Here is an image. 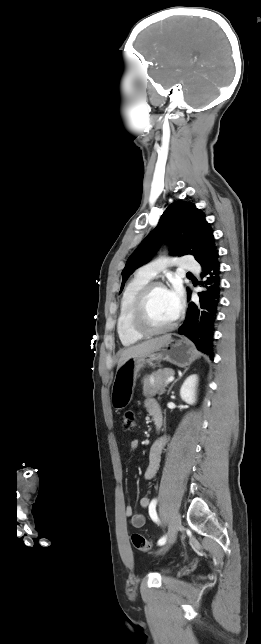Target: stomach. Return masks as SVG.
<instances>
[{"label":"stomach","mask_w":261,"mask_h":644,"mask_svg":"<svg viewBox=\"0 0 261 644\" xmlns=\"http://www.w3.org/2000/svg\"><path fill=\"white\" fill-rule=\"evenodd\" d=\"M199 353L194 345L186 338L170 339L165 345L151 353L129 358L117 369L112 388L111 404L116 410L124 409L133 399L134 389L139 371L146 364L167 361L178 367L191 365Z\"/></svg>","instance_id":"0dacf381"}]
</instances>
